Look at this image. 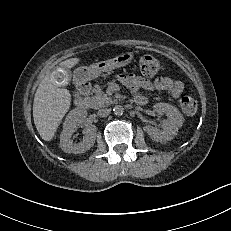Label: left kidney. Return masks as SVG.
Wrapping results in <instances>:
<instances>
[{
    "mask_svg": "<svg viewBox=\"0 0 231 231\" xmlns=\"http://www.w3.org/2000/svg\"><path fill=\"white\" fill-rule=\"evenodd\" d=\"M154 111L159 115H166L167 119L162 123V130L154 128L153 126H145L144 130L156 142H166L177 135L178 129L184 123V117L179 110L168 103H156Z\"/></svg>",
    "mask_w": 231,
    "mask_h": 231,
    "instance_id": "1",
    "label": "left kidney"
}]
</instances>
